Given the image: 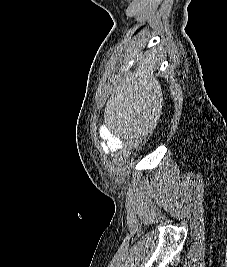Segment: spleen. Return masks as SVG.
Instances as JSON below:
<instances>
[{
	"instance_id": "3e777b00",
	"label": "spleen",
	"mask_w": 227,
	"mask_h": 267,
	"mask_svg": "<svg viewBox=\"0 0 227 267\" xmlns=\"http://www.w3.org/2000/svg\"><path fill=\"white\" fill-rule=\"evenodd\" d=\"M146 43V38L140 39ZM155 61L144 59L138 71L130 79L124 80L116 89L115 100H109L104 115H159L161 107L160 85L154 79ZM134 106H126V105ZM140 105V106H136ZM104 129H113L117 137L125 140H140L146 129H152L156 116H103Z\"/></svg>"
}]
</instances>
